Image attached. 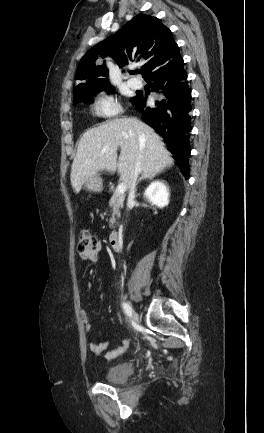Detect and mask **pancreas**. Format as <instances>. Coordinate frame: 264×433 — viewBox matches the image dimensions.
Returning a JSON list of instances; mask_svg holds the SVG:
<instances>
[{"label":"pancreas","mask_w":264,"mask_h":433,"mask_svg":"<svg viewBox=\"0 0 264 433\" xmlns=\"http://www.w3.org/2000/svg\"><path fill=\"white\" fill-rule=\"evenodd\" d=\"M125 197L123 195H120L116 193V191L113 192V195L110 199L109 206L112 209L111 218L109 220V226L113 228L115 224V216H120V211L123 208Z\"/></svg>","instance_id":"1"}]
</instances>
